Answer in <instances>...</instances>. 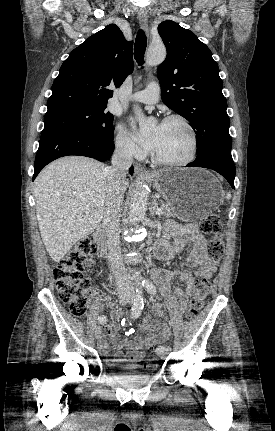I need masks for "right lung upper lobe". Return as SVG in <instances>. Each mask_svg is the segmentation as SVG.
Instances as JSON below:
<instances>
[{"label": "right lung upper lobe", "mask_w": 275, "mask_h": 431, "mask_svg": "<svg viewBox=\"0 0 275 431\" xmlns=\"http://www.w3.org/2000/svg\"><path fill=\"white\" fill-rule=\"evenodd\" d=\"M133 42L115 24L89 37L63 62L52 85L47 112L81 106L107 105L112 86L132 73Z\"/></svg>", "instance_id": "right-lung-upper-lobe-1"}]
</instances>
